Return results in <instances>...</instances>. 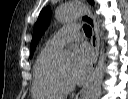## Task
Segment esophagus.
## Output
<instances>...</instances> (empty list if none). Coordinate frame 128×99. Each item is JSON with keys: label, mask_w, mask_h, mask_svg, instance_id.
<instances>
[{"label": "esophagus", "mask_w": 128, "mask_h": 99, "mask_svg": "<svg viewBox=\"0 0 128 99\" xmlns=\"http://www.w3.org/2000/svg\"><path fill=\"white\" fill-rule=\"evenodd\" d=\"M81 18L92 29L91 45H92V48L94 51V58H93V62H92V68H93L95 66L96 61H97L98 50H99V38H98L97 27H96V23H95L94 19L92 18L89 11L85 12ZM83 90H84V87L77 93V95L75 96V99H81L82 98Z\"/></svg>", "instance_id": "1"}]
</instances>
